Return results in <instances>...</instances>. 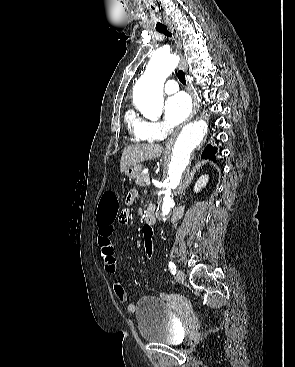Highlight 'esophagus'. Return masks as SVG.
I'll return each mask as SVG.
<instances>
[{"instance_id": "obj_1", "label": "esophagus", "mask_w": 295, "mask_h": 367, "mask_svg": "<svg viewBox=\"0 0 295 367\" xmlns=\"http://www.w3.org/2000/svg\"><path fill=\"white\" fill-rule=\"evenodd\" d=\"M169 29L170 31L174 34L175 38H176V43H177V47L180 51V67L183 69V70H186L187 69V64H186V61L183 57V55L181 54V41H180V38H179V35H178V30L176 28L175 25H170L169 26ZM188 89H189V92H190V95L192 97V100H193V109H192V112L191 114L189 115V117L187 118L186 123H188L189 121H191V119L194 117V115L196 114L197 112V109H198V101H197V98H196V95L195 93L191 90V87L190 85H188ZM182 128V126H180L174 133L173 135L169 138V140L167 141L166 143V146H165V151H170L173 144H174V141L180 131V129Z\"/></svg>"}]
</instances>
